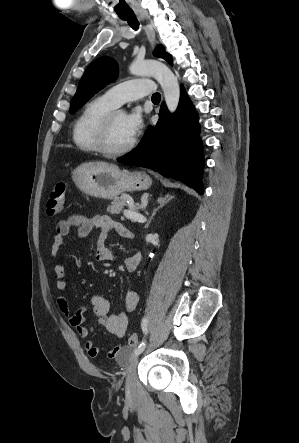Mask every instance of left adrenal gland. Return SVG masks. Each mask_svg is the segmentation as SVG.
I'll use <instances>...</instances> for the list:
<instances>
[{
    "instance_id": "left-adrenal-gland-1",
    "label": "left adrenal gland",
    "mask_w": 299,
    "mask_h": 443,
    "mask_svg": "<svg viewBox=\"0 0 299 443\" xmlns=\"http://www.w3.org/2000/svg\"><path fill=\"white\" fill-rule=\"evenodd\" d=\"M172 198H173V197H172V196H169V195H167V196H165V197H160V198H158L157 202H158L159 206H158L156 209L153 210V213H152V215L150 216L149 221L147 222L145 228H148V227H149V225H150L151 221L153 220V217L156 215V213H157L161 208H163L166 204H168V202H170V200H172Z\"/></svg>"
}]
</instances>
